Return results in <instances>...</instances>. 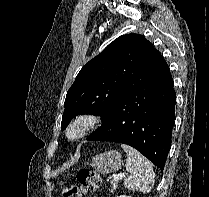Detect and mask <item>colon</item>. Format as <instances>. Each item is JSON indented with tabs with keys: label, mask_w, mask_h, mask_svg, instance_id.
<instances>
[{
	"label": "colon",
	"mask_w": 209,
	"mask_h": 197,
	"mask_svg": "<svg viewBox=\"0 0 209 197\" xmlns=\"http://www.w3.org/2000/svg\"><path fill=\"white\" fill-rule=\"evenodd\" d=\"M77 181V185H67L63 189V197H84L87 192L98 190L102 186L100 175L85 169L77 173Z\"/></svg>",
	"instance_id": "colon-1"
}]
</instances>
